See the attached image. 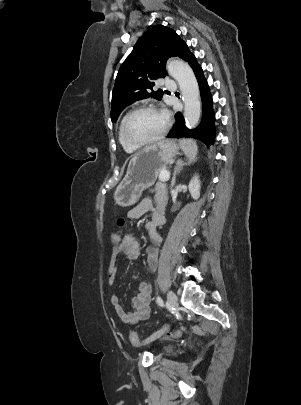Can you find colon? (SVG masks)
<instances>
[{
  "instance_id": "colon-1",
  "label": "colon",
  "mask_w": 301,
  "mask_h": 405,
  "mask_svg": "<svg viewBox=\"0 0 301 405\" xmlns=\"http://www.w3.org/2000/svg\"><path fill=\"white\" fill-rule=\"evenodd\" d=\"M124 225H125V220L123 218H120L118 220V226L123 227ZM110 237H111V241L113 242V246L114 247H119L120 246V241H121V238L119 237V234L114 232V233L111 234ZM181 334H182V330H179V331H176L174 333L169 334L168 337H178ZM129 338H130L131 343L134 346H139L142 343V339L134 331L129 332Z\"/></svg>"
}]
</instances>
